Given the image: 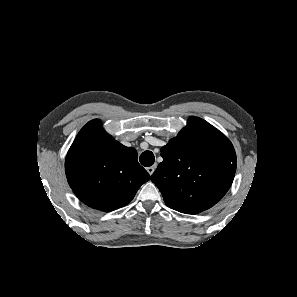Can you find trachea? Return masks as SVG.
<instances>
[{"label": "trachea", "instance_id": "3493384b", "mask_svg": "<svg viewBox=\"0 0 297 297\" xmlns=\"http://www.w3.org/2000/svg\"><path fill=\"white\" fill-rule=\"evenodd\" d=\"M154 161L155 157L151 151H145L140 156V163L145 167L152 166L154 164Z\"/></svg>", "mask_w": 297, "mask_h": 297}]
</instances>
